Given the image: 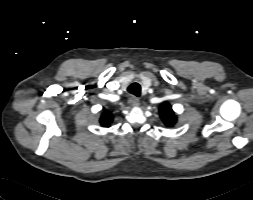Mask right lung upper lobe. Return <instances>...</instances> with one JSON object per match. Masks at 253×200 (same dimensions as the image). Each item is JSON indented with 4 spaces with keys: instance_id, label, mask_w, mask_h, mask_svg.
<instances>
[{
    "instance_id": "1",
    "label": "right lung upper lobe",
    "mask_w": 253,
    "mask_h": 200,
    "mask_svg": "<svg viewBox=\"0 0 253 200\" xmlns=\"http://www.w3.org/2000/svg\"><path fill=\"white\" fill-rule=\"evenodd\" d=\"M112 115L108 112H104L100 118V124L103 126V127H109L110 126V123L112 122Z\"/></svg>"
}]
</instances>
